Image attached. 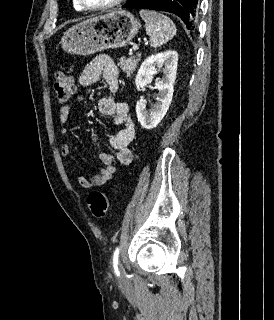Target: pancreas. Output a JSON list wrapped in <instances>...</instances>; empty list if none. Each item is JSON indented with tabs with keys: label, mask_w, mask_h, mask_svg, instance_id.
Segmentation results:
<instances>
[{
	"label": "pancreas",
	"mask_w": 274,
	"mask_h": 320,
	"mask_svg": "<svg viewBox=\"0 0 274 320\" xmlns=\"http://www.w3.org/2000/svg\"><path fill=\"white\" fill-rule=\"evenodd\" d=\"M140 60L141 54H138V56H131V58H121L118 64L121 70H123V72H126L127 76H131L135 68H137V64L138 62H140Z\"/></svg>",
	"instance_id": "obj_1"
}]
</instances>
